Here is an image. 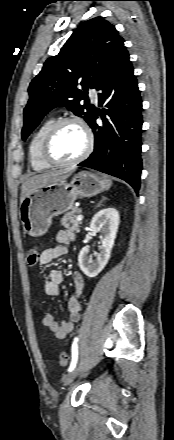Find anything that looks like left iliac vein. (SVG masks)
Listing matches in <instances>:
<instances>
[{"mask_svg":"<svg viewBox=\"0 0 174 440\" xmlns=\"http://www.w3.org/2000/svg\"><path fill=\"white\" fill-rule=\"evenodd\" d=\"M81 369V363L78 364L71 372H69L65 377H64V385H69L79 374Z\"/></svg>","mask_w":174,"mask_h":440,"instance_id":"1","label":"left iliac vein"}]
</instances>
